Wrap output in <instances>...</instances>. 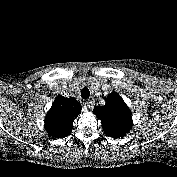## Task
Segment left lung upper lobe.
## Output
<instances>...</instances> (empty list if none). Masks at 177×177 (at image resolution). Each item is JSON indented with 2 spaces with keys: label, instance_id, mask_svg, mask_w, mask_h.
I'll list each match as a JSON object with an SVG mask.
<instances>
[{
  "label": "left lung upper lobe",
  "instance_id": "left-lung-upper-lobe-1",
  "mask_svg": "<svg viewBox=\"0 0 177 177\" xmlns=\"http://www.w3.org/2000/svg\"><path fill=\"white\" fill-rule=\"evenodd\" d=\"M104 106H97L93 113L101 120L106 135L122 138L132 127V116L129 107L118 93H111Z\"/></svg>",
  "mask_w": 177,
  "mask_h": 177
}]
</instances>
